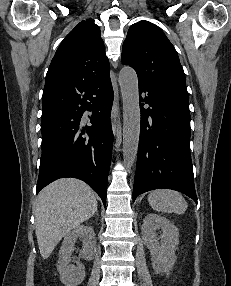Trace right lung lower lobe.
I'll use <instances>...</instances> for the list:
<instances>
[{
  "label": "right lung lower lobe",
  "instance_id": "1",
  "mask_svg": "<svg viewBox=\"0 0 231 286\" xmlns=\"http://www.w3.org/2000/svg\"><path fill=\"white\" fill-rule=\"evenodd\" d=\"M113 89L110 77L79 88L42 120V156L37 193L52 181L74 177L86 182L106 205L113 133L110 113ZM92 111V126L82 127L83 113Z\"/></svg>",
  "mask_w": 231,
  "mask_h": 286
}]
</instances>
